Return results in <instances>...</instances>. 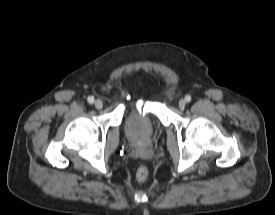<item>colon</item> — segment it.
I'll use <instances>...</instances> for the list:
<instances>
[{"instance_id": "colon-1", "label": "colon", "mask_w": 275, "mask_h": 215, "mask_svg": "<svg viewBox=\"0 0 275 215\" xmlns=\"http://www.w3.org/2000/svg\"><path fill=\"white\" fill-rule=\"evenodd\" d=\"M135 176L138 181L143 182L147 180L149 176V171L145 166H139L136 170Z\"/></svg>"}]
</instances>
